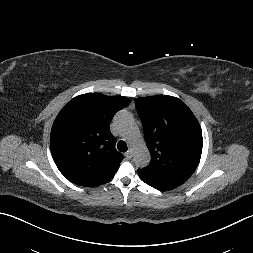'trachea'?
<instances>
[{
    "instance_id": "1",
    "label": "trachea",
    "mask_w": 253,
    "mask_h": 253,
    "mask_svg": "<svg viewBox=\"0 0 253 253\" xmlns=\"http://www.w3.org/2000/svg\"><path fill=\"white\" fill-rule=\"evenodd\" d=\"M117 148L121 152H126L128 150L127 144L124 141H119L117 144Z\"/></svg>"
}]
</instances>
